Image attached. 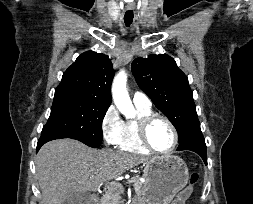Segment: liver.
Listing matches in <instances>:
<instances>
[{"instance_id": "liver-1", "label": "liver", "mask_w": 253, "mask_h": 204, "mask_svg": "<svg viewBox=\"0 0 253 204\" xmlns=\"http://www.w3.org/2000/svg\"><path fill=\"white\" fill-rule=\"evenodd\" d=\"M148 161L136 154L90 148L73 139L50 141L36 157L40 204H61L69 193L95 192L105 181Z\"/></svg>"}]
</instances>
